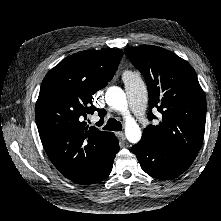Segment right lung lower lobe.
<instances>
[{"instance_id": "obj_1", "label": "right lung lower lobe", "mask_w": 221, "mask_h": 221, "mask_svg": "<svg viewBox=\"0 0 221 221\" xmlns=\"http://www.w3.org/2000/svg\"><path fill=\"white\" fill-rule=\"evenodd\" d=\"M115 139H116V150H115L109 164L107 165V167L103 171H101L98 175L91 177V178L81 180V181H77L75 183L82 184V185H88V184L98 183V182L104 180L105 178H107V176L110 174V172L112 170V164H113V160L115 158V154L118 153V151H119V144H118V140H117L116 136H115Z\"/></svg>"}]
</instances>
